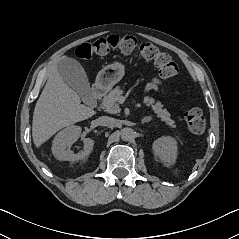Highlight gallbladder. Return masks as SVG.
Returning <instances> with one entry per match:
<instances>
[{
  "label": "gallbladder",
  "instance_id": "gallbladder-1",
  "mask_svg": "<svg viewBox=\"0 0 239 239\" xmlns=\"http://www.w3.org/2000/svg\"><path fill=\"white\" fill-rule=\"evenodd\" d=\"M57 71L65 83L72 87L89 104L93 100L90 84L82 65L70 57L61 58L57 64Z\"/></svg>",
  "mask_w": 239,
  "mask_h": 239
}]
</instances>
